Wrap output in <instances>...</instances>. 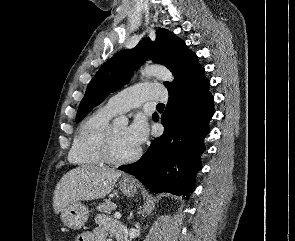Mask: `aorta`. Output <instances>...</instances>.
Instances as JSON below:
<instances>
[{
    "label": "aorta",
    "instance_id": "1",
    "mask_svg": "<svg viewBox=\"0 0 295 241\" xmlns=\"http://www.w3.org/2000/svg\"><path fill=\"white\" fill-rule=\"evenodd\" d=\"M142 75L148 77H156L159 80L172 82L174 77L172 73L164 66L161 65H146L141 70ZM116 123H127L128 118L124 115L119 116L114 120Z\"/></svg>",
    "mask_w": 295,
    "mask_h": 241
}]
</instances>
